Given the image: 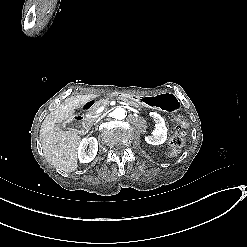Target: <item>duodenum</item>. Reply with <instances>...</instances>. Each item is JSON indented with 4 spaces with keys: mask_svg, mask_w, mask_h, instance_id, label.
I'll return each instance as SVG.
<instances>
[{
    "mask_svg": "<svg viewBox=\"0 0 247 247\" xmlns=\"http://www.w3.org/2000/svg\"><path fill=\"white\" fill-rule=\"evenodd\" d=\"M115 97L127 99V100H134L135 97L130 94H116ZM95 106V100L86 101L74 115L71 126L77 128L78 130H83L85 127V114L89 112Z\"/></svg>",
    "mask_w": 247,
    "mask_h": 247,
    "instance_id": "duodenum-1",
    "label": "duodenum"
}]
</instances>
